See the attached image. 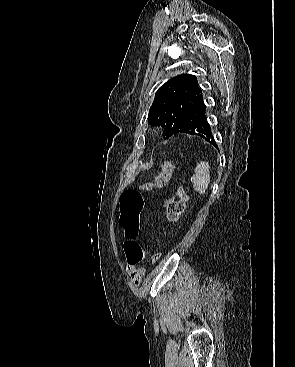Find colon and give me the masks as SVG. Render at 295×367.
Wrapping results in <instances>:
<instances>
[{"label": "colon", "mask_w": 295, "mask_h": 367, "mask_svg": "<svg viewBox=\"0 0 295 367\" xmlns=\"http://www.w3.org/2000/svg\"><path fill=\"white\" fill-rule=\"evenodd\" d=\"M175 169L173 162H165L160 171L152 181L145 182L141 188L150 191L156 188L165 187ZM189 196L185 190L178 192L177 196L170 199L166 204V220L169 223L176 222L184 212ZM143 199L141 192L137 189L126 190L120 198V225L125 233L124 251L127 261L131 264L139 263L144 252L136 241L139 233V217L142 209ZM160 255H151V263L158 262Z\"/></svg>", "instance_id": "colon-1"}]
</instances>
